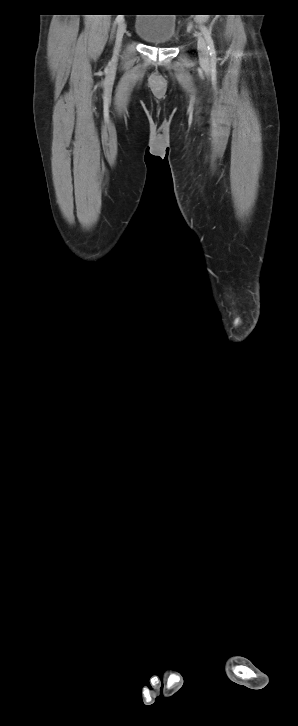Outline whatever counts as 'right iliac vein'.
<instances>
[{
    "mask_svg": "<svg viewBox=\"0 0 298 726\" xmlns=\"http://www.w3.org/2000/svg\"><path fill=\"white\" fill-rule=\"evenodd\" d=\"M125 31H126V23L124 21H121L119 23V25L117 27V31H116V42H115V48H114L115 55H117L120 50L121 42H122L123 36L125 34Z\"/></svg>",
    "mask_w": 298,
    "mask_h": 726,
    "instance_id": "63e3f726",
    "label": "right iliac vein"
}]
</instances>
